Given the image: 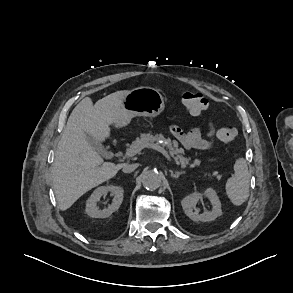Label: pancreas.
<instances>
[{"label":"pancreas","mask_w":293,"mask_h":293,"mask_svg":"<svg viewBox=\"0 0 293 293\" xmlns=\"http://www.w3.org/2000/svg\"><path fill=\"white\" fill-rule=\"evenodd\" d=\"M162 140V145L168 150L169 155L173 158L174 162L177 165H181L182 168H186L189 166L190 168L199 166L201 161L197 158L191 163L190 158L184 157L185 154L183 148H178V142L176 140H171L170 138L166 139L163 135L152 134L151 132L143 133L140 135V138H136L135 141L131 144L130 148L137 145H146V144H154V142ZM204 176H208V179L211 180L212 177L217 179L221 178V175L218 174L217 171L213 173H205Z\"/></svg>","instance_id":"pancreas-1"}]
</instances>
